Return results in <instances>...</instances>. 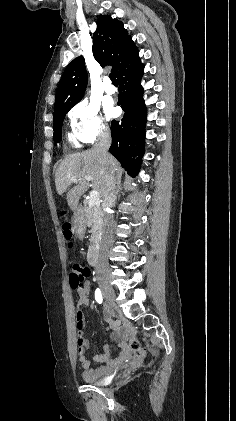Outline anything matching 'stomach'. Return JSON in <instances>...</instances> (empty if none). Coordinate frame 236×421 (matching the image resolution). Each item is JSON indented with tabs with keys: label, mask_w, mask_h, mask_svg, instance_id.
<instances>
[{
	"label": "stomach",
	"mask_w": 236,
	"mask_h": 421,
	"mask_svg": "<svg viewBox=\"0 0 236 421\" xmlns=\"http://www.w3.org/2000/svg\"><path fill=\"white\" fill-rule=\"evenodd\" d=\"M77 219H78L79 223H82V221H83L82 213H80V215H79V217H77Z\"/></svg>",
	"instance_id": "0dacf381"
}]
</instances>
